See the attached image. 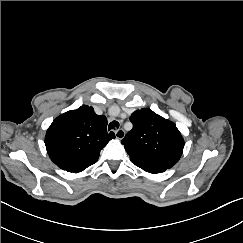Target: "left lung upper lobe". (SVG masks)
I'll list each match as a JSON object with an SVG mask.
<instances>
[{"instance_id":"left-lung-upper-lobe-1","label":"left lung upper lobe","mask_w":243,"mask_h":243,"mask_svg":"<svg viewBox=\"0 0 243 243\" xmlns=\"http://www.w3.org/2000/svg\"><path fill=\"white\" fill-rule=\"evenodd\" d=\"M130 121L133 128L122 144L133 163L165 169L177 163L183 152L184 140L174 123L148 108L132 113Z\"/></svg>"}]
</instances>
